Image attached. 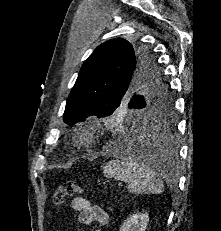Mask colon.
I'll list each match as a JSON object with an SVG mask.
<instances>
[{
	"label": "colon",
	"instance_id": "colon-1",
	"mask_svg": "<svg viewBox=\"0 0 221 231\" xmlns=\"http://www.w3.org/2000/svg\"><path fill=\"white\" fill-rule=\"evenodd\" d=\"M82 188L72 181L63 182L58 186L53 194V203L58 212H60L65 204L66 197L81 193Z\"/></svg>",
	"mask_w": 221,
	"mask_h": 231
}]
</instances>
